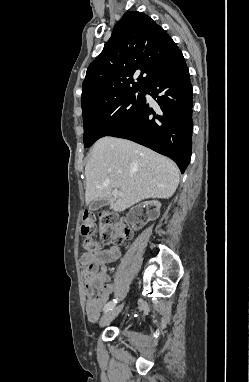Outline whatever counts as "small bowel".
<instances>
[{"label": "small bowel", "mask_w": 249, "mask_h": 382, "mask_svg": "<svg viewBox=\"0 0 249 382\" xmlns=\"http://www.w3.org/2000/svg\"><path fill=\"white\" fill-rule=\"evenodd\" d=\"M119 256V247L112 246L96 252H84L80 257L84 273L85 309L89 321L98 319L103 305L113 292L106 265L117 260Z\"/></svg>", "instance_id": "1"}]
</instances>
